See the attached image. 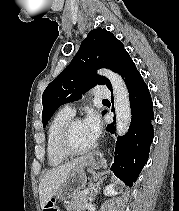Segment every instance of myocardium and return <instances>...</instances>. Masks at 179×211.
<instances>
[{"label":"myocardium","instance_id":"1","mask_svg":"<svg viewBox=\"0 0 179 211\" xmlns=\"http://www.w3.org/2000/svg\"><path fill=\"white\" fill-rule=\"evenodd\" d=\"M79 121H82V120L78 117H72L70 120L66 122V124L64 125L61 131V134L59 137V148L61 152L67 157H75V156H82V155L89 154L96 147L95 142L90 147L81 149V150L75 149L73 147L72 140H71L72 131H73L74 125Z\"/></svg>","mask_w":179,"mask_h":211}]
</instances>
